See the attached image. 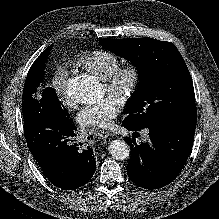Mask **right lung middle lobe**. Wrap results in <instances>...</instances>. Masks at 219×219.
Listing matches in <instances>:
<instances>
[{"label":"right lung middle lobe","mask_w":219,"mask_h":219,"mask_svg":"<svg viewBox=\"0 0 219 219\" xmlns=\"http://www.w3.org/2000/svg\"><path fill=\"white\" fill-rule=\"evenodd\" d=\"M52 48V45L47 47L41 55L32 64L23 89L22 96V112L23 116L30 110H34L33 107L38 109H44L46 111H52L59 114L66 122L72 120L69 112L64 105L59 101L55 90L51 87H47L43 90L42 94L35 99L34 94L37 91V87L43 81L45 63L47 61L48 54Z\"/></svg>","instance_id":"right-lung-middle-lobe-1"}]
</instances>
